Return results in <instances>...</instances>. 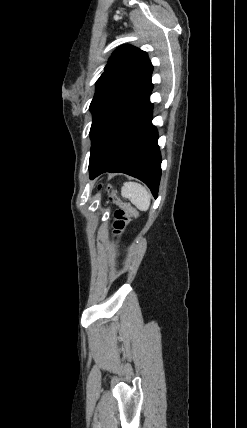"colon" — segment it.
<instances>
[{"mask_svg": "<svg viewBox=\"0 0 247 428\" xmlns=\"http://www.w3.org/2000/svg\"><path fill=\"white\" fill-rule=\"evenodd\" d=\"M107 189L110 192L109 201L116 205L112 226L115 237L118 238L125 231L127 225L136 217L137 213L131 204L118 199L110 187Z\"/></svg>", "mask_w": 247, "mask_h": 428, "instance_id": "5ec220e1", "label": "colon"}]
</instances>
